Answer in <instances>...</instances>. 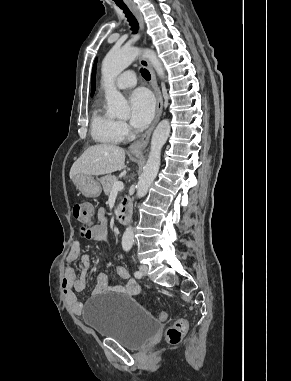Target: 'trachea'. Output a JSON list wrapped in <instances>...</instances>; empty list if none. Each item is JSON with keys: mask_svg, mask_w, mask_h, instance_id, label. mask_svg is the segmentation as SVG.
I'll return each instance as SVG.
<instances>
[{"mask_svg": "<svg viewBox=\"0 0 291 381\" xmlns=\"http://www.w3.org/2000/svg\"><path fill=\"white\" fill-rule=\"evenodd\" d=\"M116 5L122 9L125 13V16L127 17V20L131 26V30L133 31V33H137L138 31V22L135 18V16L133 15V13L130 11V9L123 3V2H118L116 0H114ZM140 72H141V75L143 76L144 79L146 80H150L151 79V75L149 73L148 70L146 69H140Z\"/></svg>", "mask_w": 291, "mask_h": 381, "instance_id": "3493384b", "label": "trachea"}]
</instances>
